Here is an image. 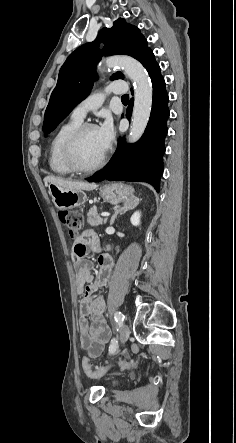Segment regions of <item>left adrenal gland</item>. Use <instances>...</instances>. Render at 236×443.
Returning a JSON list of instances; mask_svg holds the SVG:
<instances>
[{
	"label": "left adrenal gland",
	"mask_w": 236,
	"mask_h": 443,
	"mask_svg": "<svg viewBox=\"0 0 236 443\" xmlns=\"http://www.w3.org/2000/svg\"><path fill=\"white\" fill-rule=\"evenodd\" d=\"M128 210H129V207H128V205H127L126 203L124 204L123 207L117 209V210L114 212V214H113V216H112V218H111V220H110V225L112 226V225L114 224V221H115V219L117 218V216H118L119 214L122 215V214H124L125 212H127Z\"/></svg>",
	"instance_id": "a2214340"
}]
</instances>
